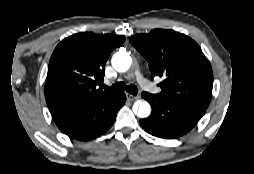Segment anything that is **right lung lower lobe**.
I'll use <instances>...</instances> for the list:
<instances>
[{
  "label": "right lung lower lobe",
  "mask_w": 254,
  "mask_h": 174,
  "mask_svg": "<svg viewBox=\"0 0 254 174\" xmlns=\"http://www.w3.org/2000/svg\"><path fill=\"white\" fill-rule=\"evenodd\" d=\"M125 101L124 93L113 97L81 98L51 115L58 128L70 138L88 141L100 136L113 125L116 114Z\"/></svg>",
  "instance_id": "obj_1"
}]
</instances>
